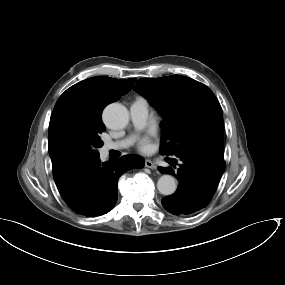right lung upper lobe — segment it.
Returning a JSON list of instances; mask_svg holds the SVG:
<instances>
[{
    "label": "right lung upper lobe",
    "instance_id": "1",
    "mask_svg": "<svg viewBox=\"0 0 285 285\" xmlns=\"http://www.w3.org/2000/svg\"><path fill=\"white\" fill-rule=\"evenodd\" d=\"M136 79L118 80L110 77H92L68 88L58 99L57 105L65 102H77L92 109L103 111L105 106L127 94ZM53 177L60 180L71 169L61 167L52 156Z\"/></svg>",
    "mask_w": 285,
    "mask_h": 285
}]
</instances>
